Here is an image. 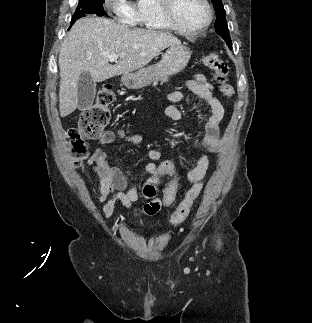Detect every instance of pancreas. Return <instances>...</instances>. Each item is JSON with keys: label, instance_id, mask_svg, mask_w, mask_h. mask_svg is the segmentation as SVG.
I'll return each instance as SVG.
<instances>
[{"label": "pancreas", "instance_id": "cf45deb5", "mask_svg": "<svg viewBox=\"0 0 312 323\" xmlns=\"http://www.w3.org/2000/svg\"><path fill=\"white\" fill-rule=\"evenodd\" d=\"M152 82L153 86H157L158 82H161V84H163V82H168V78H154Z\"/></svg>", "mask_w": 312, "mask_h": 323}]
</instances>
